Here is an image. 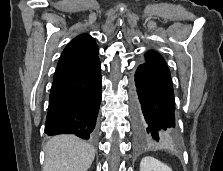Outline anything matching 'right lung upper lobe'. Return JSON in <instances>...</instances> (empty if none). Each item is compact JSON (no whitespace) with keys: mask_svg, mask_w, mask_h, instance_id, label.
Here are the masks:
<instances>
[{"mask_svg":"<svg viewBox=\"0 0 223 171\" xmlns=\"http://www.w3.org/2000/svg\"><path fill=\"white\" fill-rule=\"evenodd\" d=\"M98 47L87 34L75 37L63 50L54 78L80 70L98 60Z\"/></svg>","mask_w":223,"mask_h":171,"instance_id":"right-lung-upper-lobe-1","label":"right lung upper lobe"}]
</instances>
